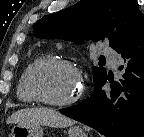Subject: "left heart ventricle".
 <instances>
[{"instance_id":"left-heart-ventricle-1","label":"left heart ventricle","mask_w":144,"mask_h":137,"mask_svg":"<svg viewBox=\"0 0 144 137\" xmlns=\"http://www.w3.org/2000/svg\"><path fill=\"white\" fill-rule=\"evenodd\" d=\"M38 90L43 96L54 101L72 98L79 89V79L74 71L61 66L42 70L36 79Z\"/></svg>"}]
</instances>
